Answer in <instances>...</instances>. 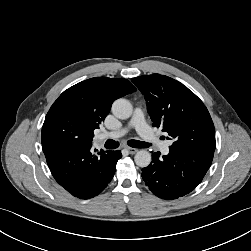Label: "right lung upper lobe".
<instances>
[{"instance_id":"obj_1","label":"right lung upper lobe","mask_w":251,"mask_h":251,"mask_svg":"<svg viewBox=\"0 0 251 251\" xmlns=\"http://www.w3.org/2000/svg\"><path fill=\"white\" fill-rule=\"evenodd\" d=\"M135 91L136 88L123 78H91L65 90L46 116L58 113L77 121L92 141L94 129L104 121L112 103Z\"/></svg>"}]
</instances>
